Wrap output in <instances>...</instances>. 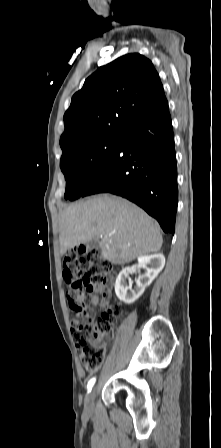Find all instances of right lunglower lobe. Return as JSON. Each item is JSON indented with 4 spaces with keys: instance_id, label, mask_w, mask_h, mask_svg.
Returning <instances> with one entry per match:
<instances>
[{
    "instance_id": "98d812e1",
    "label": "right lung lower lobe",
    "mask_w": 221,
    "mask_h": 448,
    "mask_svg": "<svg viewBox=\"0 0 221 448\" xmlns=\"http://www.w3.org/2000/svg\"><path fill=\"white\" fill-rule=\"evenodd\" d=\"M110 192L123 196L174 234L178 204L174 135L167 99L131 121L82 197Z\"/></svg>"
}]
</instances>
